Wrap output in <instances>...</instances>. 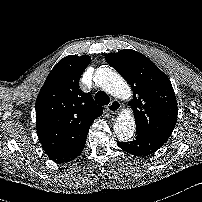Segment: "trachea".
Returning <instances> with one entry per match:
<instances>
[{
  "mask_svg": "<svg viewBox=\"0 0 202 202\" xmlns=\"http://www.w3.org/2000/svg\"><path fill=\"white\" fill-rule=\"evenodd\" d=\"M95 101L97 102V104L104 106V105H108L109 104L110 98L103 91H98L96 93V95H95Z\"/></svg>",
  "mask_w": 202,
  "mask_h": 202,
  "instance_id": "1",
  "label": "trachea"
}]
</instances>
